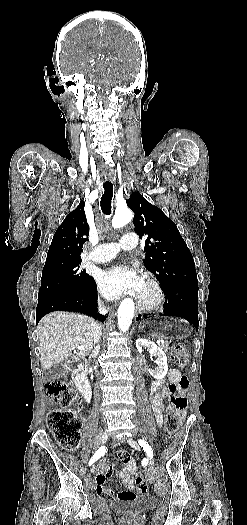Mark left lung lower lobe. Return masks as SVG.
I'll return each mask as SVG.
<instances>
[{"instance_id":"left-lung-lower-lobe-1","label":"left lung lower lobe","mask_w":247,"mask_h":525,"mask_svg":"<svg viewBox=\"0 0 247 525\" xmlns=\"http://www.w3.org/2000/svg\"><path fill=\"white\" fill-rule=\"evenodd\" d=\"M164 290L166 301L162 315L177 316L190 321L198 329V289ZM147 315H145V318ZM140 319V316L137 320Z\"/></svg>"}]
</instances>
